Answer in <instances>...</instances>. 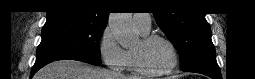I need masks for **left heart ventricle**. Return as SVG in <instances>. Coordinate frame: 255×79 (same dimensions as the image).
Masks as SVG:
<instances>
[{
	"label": "left heart ventricle",
	"instance_id": "1",
	"mask_svg": "<svg viewBox=\"0 0 255 79\" xmlns=\"http://www.w3.org/2000/svg\"><path fill=\"white\" fill-rule=\"evenodd\" d=\"M133 50L138 52L144 67L150 71L163 70L171 61L168 45L159 39L148 44H143L140 40Z\"/></svg>",
	"mask_w": 255,
	"mask_h": 79
}]
</instances>
